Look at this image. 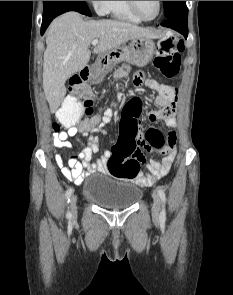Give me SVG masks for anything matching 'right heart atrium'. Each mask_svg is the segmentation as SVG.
<instances>
[{
    "label": "right heart atrium",
    "mask_w": 233,
    "mask_h": 295,
    "mask_svg": "<svg viewBox=\"0 0 233 295\" xmlns=\"http://www.w3.org/2000/svg\"><path fill=\"white\" fill-rule=\"evenodd\" d=\"M90 3L99 15H104L108 13L109 1H90Z\"/></svg>",
    "instance_id": "obj_1"
}]
</instances>
